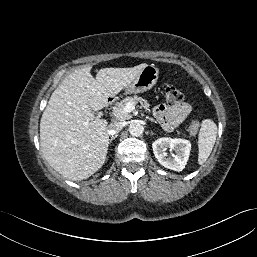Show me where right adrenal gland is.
<instances>
[{"instance_id": "2a0ac1e0", "label": "right adrenal gland", "mask_w": 257, "mask_h": 257, "mask_svg": "<svg viewBox=\"0 0 257 257\" xmlns=\"http://www.w3.org/2000/svg\"><path fill=\"white\" fill-rule=\"evenodd\" d=\"M117 137V135H115V136H112L111 138H110V140H109V144L112 142V140L113 139H115Z\"/></svg>"}]
</instances>
